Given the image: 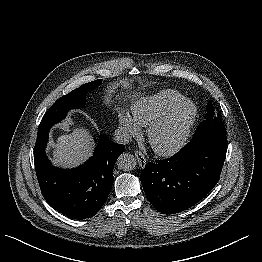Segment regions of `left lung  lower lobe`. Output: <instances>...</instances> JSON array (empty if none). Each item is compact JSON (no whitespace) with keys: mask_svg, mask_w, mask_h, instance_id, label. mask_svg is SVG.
<instances>
[{"mask_svg":"<svg viewBox=\"0 0 262 262\" xmlns=\"http://www.w3.org/2000/svg\"><path fill=\"white\" fill-rule=\"evenodd\" d=\"M226 152V136L192 137L170 158L148 162L141 172L147 199L161 213L187 210L217 184Z\"/></svg>","mask_w":262,"mask_h":262,"instance_id":"1","label":"left lung lower lobe"}]
</instances>
